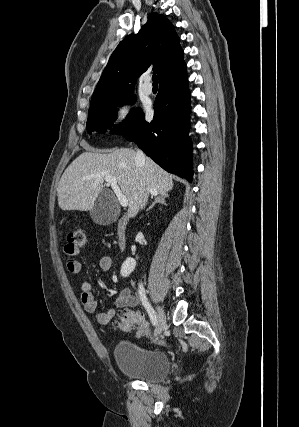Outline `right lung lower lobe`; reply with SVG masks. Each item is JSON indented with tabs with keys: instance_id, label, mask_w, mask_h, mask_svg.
Instances as JSON below:
<instances>
[{
	"instance_id": "right-lung-lower-lobe-1",
	"label": "right lung lower lobe",
	"mask_w": 299,
	"mask_h": 427,
	"mask_svg": "<svg viewBox=\"0 0 299 427\" xmlns=\"http://www.w3.org/2000/svg\"><path fill=\"white\" fill-rule=\"evenodd\" d=\"M154 118L144 115L124 136L166 171L192 180L191 141L188 137L190 92L186 69L159 82Z\"/></svg>"
}]
</instances>
